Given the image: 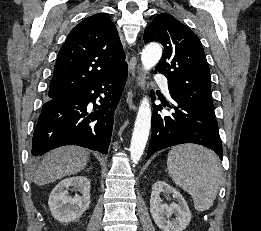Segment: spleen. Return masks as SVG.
Instances as JSON below:
<instances>
[{
	"label": "spleen",
	"mask_w": 261,
	"mask_h": 231,
	"mask_svg": "<svg viewBox=\"0 0 261 231\" xmlns=\"http://www.w3.org/2000/svg\"><path fill=\"white\" fill-rule=\"evenodd\" d=\"M167 169L172 180L192 196L196 210L213 205L223 176L213 151L194 144L175 146L168 154Z\"/></svg>",
	"instance_id": "obj_1"
}]
</instances>
